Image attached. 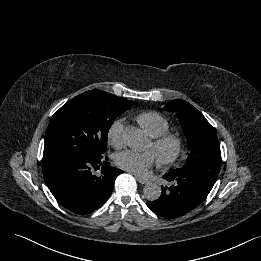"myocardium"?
<instances>
[{
  "label": "myocardium",
  "mask_w": 261,
  "mask_h": 261,
  "mask_svg": "<svg viewBox=\"0 0 261 261\" xmlns=\"http://www.w3.org/2000/svg\"><path fill=\"white\" fill-rule=\"evenodd\" d=\"M152 148L159 153L158 165L166 168L175 163L183 153V140L178 133L165 132L153 137L150 141Z\"/></svg>",
  "instance_id": "obj_1"
}]
</instances>
